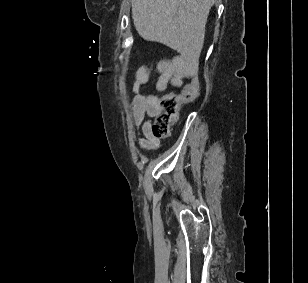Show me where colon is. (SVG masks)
<instances>
[{
    "label": "colon",
    "mask_w": 308,
    "mask_h": 283,
    "mask_svg": "<svg viewBox=\"0 0 308 283\" xmlns=\"http://www.w3.org/2000/svg\"><path fill=\"white\" fill-rule=\"evenodd\" d=\"M199 63H194V72L190 83L179 92H171L157 99L159 112L151 126V133L156 138H166L170 134V128L176 121L179 109L182 105L195 99L199 92Z\"/></svg>",
    "instance_id": "5ec220e1"
}]
</instances>
